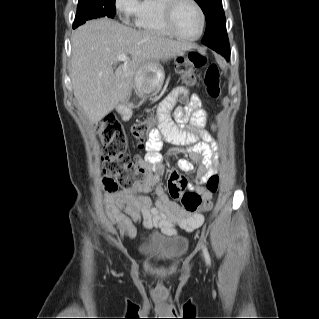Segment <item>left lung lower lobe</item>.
I'll return each instance as SVG.
<instances>
[{
	"instance_id": "1",
	"label": "left lung lower lobe",
	"mask_w": 319,
	"mask_h": 319,
	"mask_svg": "<svg viewBox=\"0 0 319 319\" xmlns=\"http://www.w3.org/2000/svg\"><path fill=\"white\" fill-rule=\"evenodd\" d=\"M222 55H223L225 58L229 59V58H230V48H229L228 50L223 51V52H222Z\"/></svg>"
}]
</instances>
